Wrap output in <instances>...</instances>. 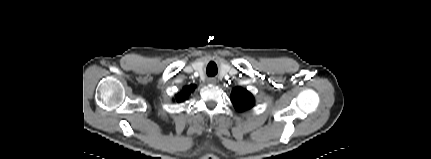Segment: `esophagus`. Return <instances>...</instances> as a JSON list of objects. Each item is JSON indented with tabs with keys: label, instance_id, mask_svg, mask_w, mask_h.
Wrapping results in <instances>:
<instances>
[{
	"label": "esophagus",
	"instance_id": "esophagus-1",
	"mask_svg": "<svg viewBox=\"0 0 431 159\" xmlns=\"http://www.w3.org/2000/svg\"><path fill=\"white\" fill-rule=\"evenodd\" d=\"M208 82H209V83H215V82H216V80H215L214 78H209V79H208Z\"/></svg>",
	"mask_w": 431,
	"mask_h": 159
}]
</instances>
